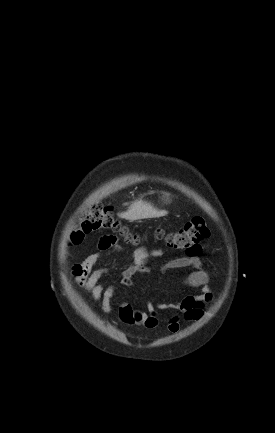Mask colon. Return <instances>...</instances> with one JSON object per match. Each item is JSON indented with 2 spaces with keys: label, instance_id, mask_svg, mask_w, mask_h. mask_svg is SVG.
Listing matches in <instances>:
<instances>
[{
  "label": "colon",
  "instance_id": "1",
  "mask_svg": "<svg viewBox=\"0 0 275 433\" xmlns=\"http://www.w3.org/2000/svg\"><path fill=\"white\" fill-rule=\"evenodd\" d=\"M100 230L117 232L128 242H139V237L129 231L115 216L113 207L100 204L93 205L82 214L79 223L71 233V242L79 244L87 234ZM156 235L170 247L184 250L187 255H194L200 242L209 237L210 230L202 217H194L177 230L158 229Z\"/></svg>",
  "mask_w": 275,
  "mask_h": 433
}]
</instances>
